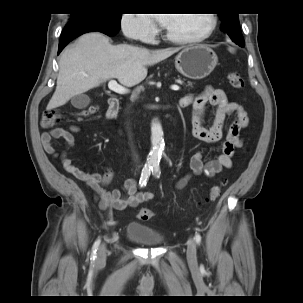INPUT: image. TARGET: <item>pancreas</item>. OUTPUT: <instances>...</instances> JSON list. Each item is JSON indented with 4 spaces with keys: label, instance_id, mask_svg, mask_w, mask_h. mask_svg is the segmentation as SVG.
<instances>
[{
    "label": "pancreas",
    "instance_id": "pancreas-1",
    "mask_svg": "<svg viewBox=\"0 0 303 303\" xmlns=\"http://www.w3.org/2000/svg\"><path fill=\"white\" fill-rule=\"evenodd\" d=\"M187 86L192 87V82L188 81V82H187Z\"/></svg>",
    "mask_w": 303,
    "mask_h": 303
}]
</instances>
